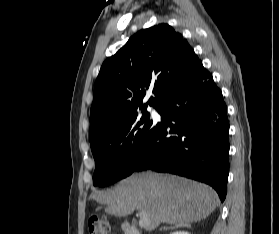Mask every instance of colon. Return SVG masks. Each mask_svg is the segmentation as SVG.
<instances>
[{
    "label": "colon",
    "mask_w": 279,
    "mask_h": 234,
    "mask_svg": "<svg viewBox=\"0 0 279 234\" xmlns=\"http://www.w3.org/2000/svg\"><path fill=\"white\" fill-rule=\"evenodd\" d=\"M110 226L108 221L100 216L93 215L88 220V234H109Z\"/></svg>",
    "instance_id": "5ec220e1"
}]
</instances>
